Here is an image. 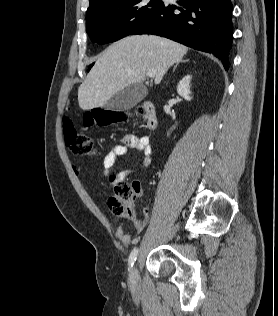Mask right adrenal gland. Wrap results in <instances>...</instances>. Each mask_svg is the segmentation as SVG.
I'll return each mask as SVG.
<instances>
[{
  "label": "right adrenal gland",
  "instance_id": "2a0ac1e0",
  "mask_svg": "<svg viewBox=\"0 0 278 316\" xmlns=\"http://www.w3.org/2000/svg\"><path fill=\"white\" fill-rule=\"evenodd\" d=\"M188 61H189V59H187V60H181L180 62L176 63V65H175L174 68H173V72L175 71V69L177 68V66L179 65V63H185V62H188Z\"/></svg>",
  "mask_w": 278,
  "mask_h": 316
}]
</instances>
